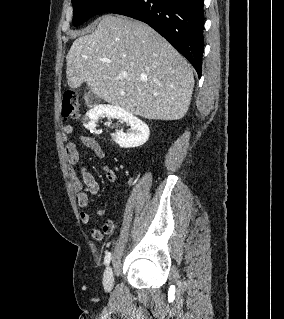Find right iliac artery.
Listing matches in <instances>:
<instances>
[{
    "label": "right iliac artery",
    "instance_id": "obj_1",
    "mask_svg": "<svg viewBox=\"0 0 284 319\" xmlns=\"http://www.w3.org/2000/svg\"><path fill=\"white\" fill-rule=\"evenodd\" d=\"M110 260H111V253L107 252L104 258L105 265H108L110 263Z\"/></svg>",
    "mask_w": 284,
    "mask_h": 319
}]
</instances>
